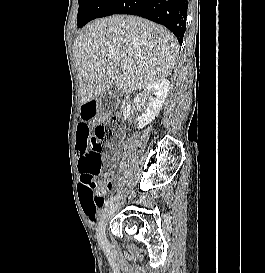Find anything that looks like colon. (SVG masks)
I'll return each instance as SVG.
<instances>
[{
  "mask_svg": "<svg viewBox=\"0 0 265 273\" xmlns=\"http://www.w3.org/2000/svg\"><path fill=\"white\" fill-rule=\"evenodd\" d=\"M120 125V118L114 116L107 122L96 125L95 129L77 128L76 152L81 157L79 164L81 193H96L98 191V183L94 177L101 167L102 143L111 141L118 134Z\"/></svg>",
  "mask_w": 265,
  "mask_h": 273,
  "instance_id": "5ec220e1",
  "label": "colon"
}]
</instances>
